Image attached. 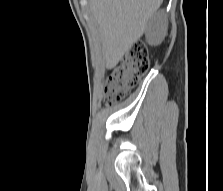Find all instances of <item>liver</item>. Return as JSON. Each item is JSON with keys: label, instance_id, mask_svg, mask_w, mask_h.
Masks as SVG:
<instances>
[{"label": "liver", "instance_id": "liver-1", "mask_svg": "<svg viewBox=\"0 0 223 191\" xmlns=\"http://www.w3.org/2000/svg\"><path fill=\"white\" fill-rule=\"evenodd\" d=\"M163 0H90L107 68L115 67L146 31Z\"/></svg>", "mask_w": 223, "mask_h": 191}]
</instances>
